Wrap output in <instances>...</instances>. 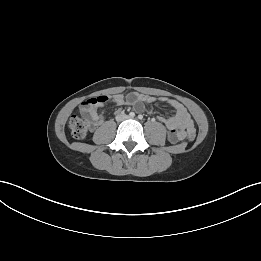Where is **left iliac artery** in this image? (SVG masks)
I'll use <instances>...</instances> for the list:
<instances>
[{
	"label": "left iliac artery",
	"mask_w": 261,
	"mask_h": 261,
	"mask_svg": "<svg viewBox=\"0 0 261 261\" xmlns=\"http://www.w3.org/2000/svg\"><path fill=\"white\" fill-rule=\"evenodd\" d=\"M142 118H143V116H142V115H138V119H140V120H141Z\"/></svg>",
	"instance_id": "44dca946"
}]
</instances>
